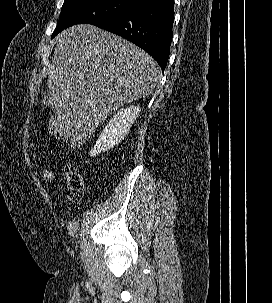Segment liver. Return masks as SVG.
Wrapping results in <instances>:
<instances>
[{
    "instance_id": "liver-1",
    "label": "liver",
    "mask_w": 272,
    "mask_h": 303,
    "mask_svg": "<svg viewBox=\"0 0 272 303\" xmlns=\"http://www.w3.org/2000/svg\"><path fill=\"white\" fill-rule=\"evenodd\" d=\"M162 76L156 61L131 42L93 25L56 36L44 104L71 148L83 145L118 108L151 94Z\"/></svg>"
}]
</instances>
